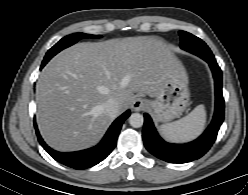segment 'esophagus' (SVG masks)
Returning <instances> with one entry per match:
<instances>
[{"instance_id": "1", "label": "esophagus", "mask_w": 248, "mask_h": 195, "mask_svg": "<svg viewBox=\"0 0 248 195\" xmlns=\"http://www.w3.org/2000/svg\"><path fill=\"white\" fill-rule=\"evenodd\" d=\"M147 106V101L143 98L137 97L132 102V109L136 112L143 110Z\"/></svg>"}]
</instances>
